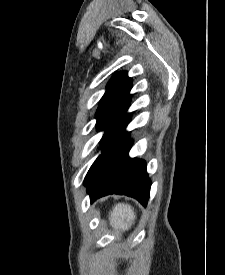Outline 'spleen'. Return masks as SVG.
I'll return each instance as SVG.
<instances>
[{"instance_id": "1", "label": "spleen", "mask_w": 225, "mask_h": 275, "mask_svg": "<svg viewBox=\"0 0 225 275\" xmlns=\"http://www.w3.org/2000/svg\"><path fill=\"white\" fill-rule=\"evenodd\" d=\"M136 218L134 209L124 203L116 204L109 214L110 225L115 230H128Z\"/></svg>"}]
</instances>
